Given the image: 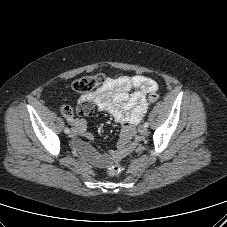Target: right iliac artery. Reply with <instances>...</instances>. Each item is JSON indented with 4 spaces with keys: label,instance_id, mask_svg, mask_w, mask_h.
Wrapping results in <instances>:
<instances>
[{
    "label": "right iliac artery",
    "instance_id": "1",
    "mask_svg": "<svg viewBox=\"0 0 227 227\" xmlns=\"http://www.w3.org/2000/svg\"><path fill=\"white\" fill-rule=\"evenodd\" d=\"M69 128L68 127H66L65 129H64V132L66 133V134H68L69 133Z\"/></svg>",
    "mask_w": 227,
    "mask_h": 227
}]
</instances>
